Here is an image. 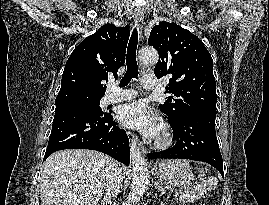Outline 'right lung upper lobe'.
<instances>
[{
  "mask_svg": "<svg viewBox=\"0 0 269 205\" xmlns=\"http://www.w3.org/2000/svg\"><path fill=\"white\" fill-rule=\"evenodd\" d=\"M129 27L103 25L85 38L72 52L63 71L56 107L99 101L108 76L117 77L125 62Z\"/></svg>",
  "mask_w": 269,
  "mask_h": 205,
  "instance_id": "cb5924a9",
  "label": "right lung upper lobe"
}]
</instances>
